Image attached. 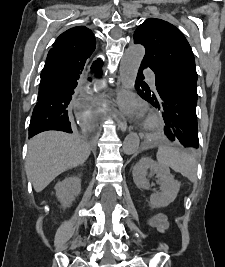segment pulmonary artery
<instances>
[{"label":"pulmonary artery","instance_id":"obj_1","mask_svg":"<svg viewBox=\"0 0 225 267\" xmlns=\"http://www.w3.org/2000/svg\"><path fill=\"white\" fill-rule=\"evenodd\" d=\"M144 72H145V75L147 76L151 86L155 87V73L150 69H146Z\"/></svg>","mask_w":225,"mask_h":267}]
</instances>
